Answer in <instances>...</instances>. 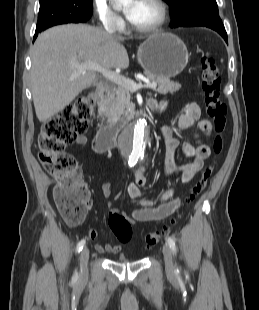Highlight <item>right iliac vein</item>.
I'll use <instances>...</instances> for the list:
<instances>
[{
  "label": "right iliac vein",
  "instance_id": "right-iliac-vein-1",
  "mask_svg": "<svg viewBox=\"0 0 259 310\" xmlns=\"http://www.w3.org/2000/svg\"><path fill=\"white\" fill-rule=\"evenodd\" d=\"M88 259H89V250H88V248L85 247L81 251V254H80V267H81L80 277L82 279H85L87 277Z\"/></svg>",
  "mask_w": 259,
  "mask_h": 310
}]
</instances>
